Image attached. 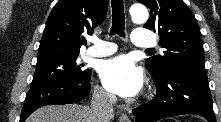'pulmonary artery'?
I'll list each match as a JSON object with an SVG mask.
<instances>
[{
	"label": "pulmonary artery",
	"mask_w": 221,
	"mask_h": 122,
	"mask_svg": "<svg viewBox=\"0 0 221 122\" xmlns=\"http://www.w3.org/2000/svg\"><path fill=\"white\" fill-rule=\"evenodd\" d=\"M91 42L93 45L86 51L88 56H109L117 50V46L114 43L101 40L97 37H92ZM132 44L136 47L147 49L156 46V39L154 36L143 30H135L132 33Z\"/></svg>",
	"instance_id": "e3ab8cb5"
}]
</instances>
